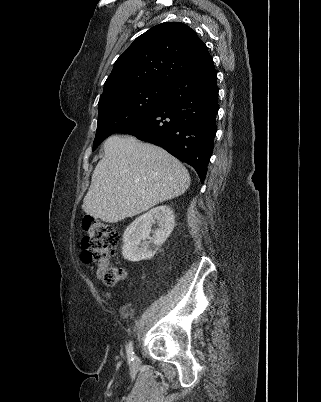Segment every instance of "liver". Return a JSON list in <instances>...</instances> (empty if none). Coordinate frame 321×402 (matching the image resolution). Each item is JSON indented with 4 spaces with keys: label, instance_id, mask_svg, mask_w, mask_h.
Listing matches in <instances>:
<instances>
[{
    "label": "liver",
    "instance_id": "obj_1",
    "mask_svg": "<svg viewBox=\"0 0 321 402\" xmlns=\"http://www.w3.org/2000/svg\"><path fill=\"white\" fill-rule=\"evenodd\" d=\"M82 209L104 222L117 223L185 193L190 175L167 151L133 136L114 135L104 143Z\"/></svg>",
    "mask_w": 321,
    "mask_h": 402
}]
</instances>
